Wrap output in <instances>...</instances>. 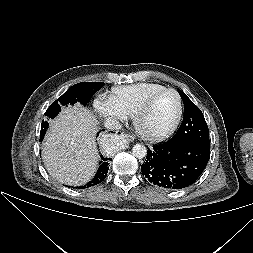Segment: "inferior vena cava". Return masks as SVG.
Listing matches in <instances>:
<instances>
[{
    "label": "inferior vena cava",
    "mask_w": 253,
    "mask_h": 253,
    "mask_svg": "<svg viewBox=\"0 0 253 253\" xmlns=\"http://www.w3.org/2000/svg\"><path fill=\"white\" fill-rule=\"evenodd\" d=\"M104 126L110 130H119L122 127L119 121L112 117H109L105 120Z\"/></svg>",
    "instance_id": "1"
}]
</instances>
